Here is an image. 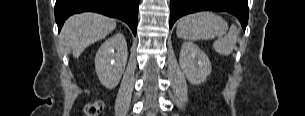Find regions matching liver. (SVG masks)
I'll return each instance as SVG.
<instances>
[{
	"label": "liver",
	"mask_w": 305,
	"mask_h": 116,
	"mask_svg": "<svg viewBox=\"0 0 305 116\" xmlns=\"http://www.w3.org/2000/svg\"><path fill=\"white\" fill-rule=\"evenodd\" d=\"M116 27L114 19L97 14L82 13L71 16L61 30V39L78 58L89 45L105 38Z\"/></svg>",
	"instance_id": "6515ba94"
}]
</instances>
